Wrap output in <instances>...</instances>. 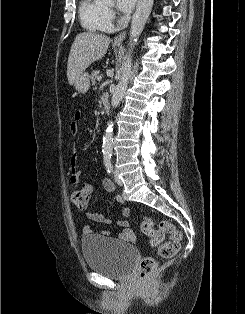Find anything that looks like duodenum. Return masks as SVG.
Here are the masks:
<instances>
[{"label": "duodenum", "instance_id": "duodenum-1", "mask_svg": "<svg viewBox=\"0 0 245 314\" xmlns=\"http://www.w3.org/2000/svg\"><path fill=\"white\" fill-rule=\"evenodd\" d=\"M101 103H102V106H103V109H104V112L106 115H109L110 113V101H109V96L104 94L101 96Z\"/></svg>", "mask_w": 245, "mask_h": 314}]
</instances>
